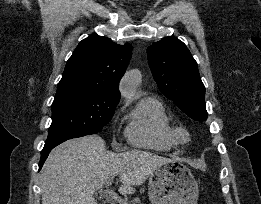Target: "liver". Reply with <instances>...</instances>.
<instances>
[{
    "instance_id": "liver-1",
    "label": "liver",
    "mask_w": 261,
    "mask_h": 204,
    "mask_svg": "<svg viewBox=\"0 0 261 204\" xmlns=\"http://www.w3.org/2000/svg\"><path fill=\"white\" fill-rule=\"evenodd\" d=\"M170 159L151 152L107 151L98 135L70 139L57 146L41 170L42 204H98L93 193L120 175L121 194H132L153 170Z\"/></svg>"
}]
</instances>
